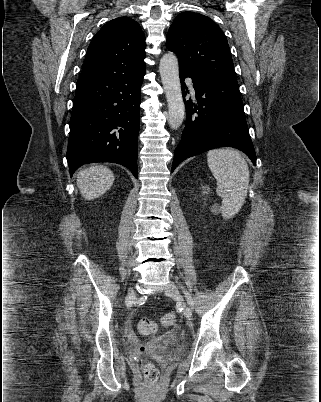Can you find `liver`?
I'll return each mask as SVG.
<instances>
[{"label":"liver","instance_id":"1","mask_svg":"<svg viewBox=\"0 0 321 402\" xmlns=\"http://www.w3.org/2000/svg\"><path fill=\"white\" fill-rule=\"evenodd\" d=\"M113 183V172L103 165L84 169L77 175V186L82 197L86 200H93L102 196L111 188Z\"/></svg>","mask_w":321,"mask_h":402}]
</instances>
